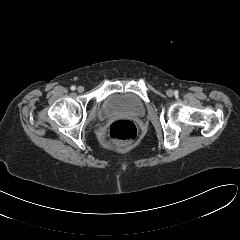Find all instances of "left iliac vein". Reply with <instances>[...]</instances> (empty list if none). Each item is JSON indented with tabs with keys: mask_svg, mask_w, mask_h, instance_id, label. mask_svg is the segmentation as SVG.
Here are the masks:
<instances>
[{
	"mask_svg": "<svg viewBox=\"0 0 240 240\" xmlns=\"http://www.w3.org/2000/svg\"><path fill=\"white\" fill-rule=\"evenodd\" d=\"M167 95H168L169 97L173 96V91H172V90H168V91H167Z\"/></svg>",
	"mask_w": 240,
	"mask_h": 240,
	"instance_id": "left-iliac-vein-1",
	"label": "left iliac vein"
}]
</instances>
